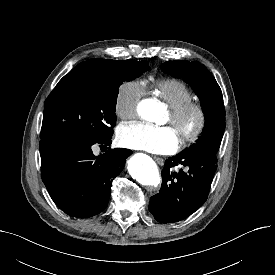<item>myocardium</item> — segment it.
<instances>
[{
    "mask_svg": "<svg viewBox=\"0 0 275 275\" xmlns=\"http://www.w3.org/2000/svg\"><path fill=\"white\" fill-rule=\"evenodd\" d=\"M170 123L179 128L190 117L196 119L195 125L180 137L181 147L195 142L205 129L207 116L203 105L197 101H189L181 106L170 109Z\"/></svg>",
    "mask_w": 275,
    "mask_h": 275,
    "instance_id": "1",
    "label": "myocardium"
}]
</instances>
